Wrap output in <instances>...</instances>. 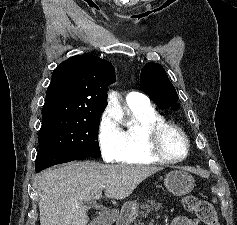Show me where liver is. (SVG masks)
Listing matches in <instances>:
<instances>
[{"instance_id": "6515ba94", "label": "liver", "mask_w": 237, "mask_h": 225, "mask_svg": "<svg viewBox=\"0 0 237 225\" xmlns=\"http://www.w3.org/2000/svg\"><path fill=\"white\" fill-rule=\"evenodd\" d=\"M153 166L70 162L38 177L40 225H87L85 205L105 189L107 198H127L147 177L160 171Z\"/></svg>"}]
</instances>
